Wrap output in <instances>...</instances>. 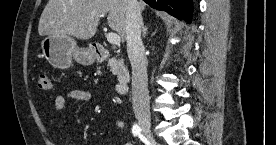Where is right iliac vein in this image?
Wrapping results in <instances>:
<instances>
[{
    "instance_id": "1",
    "label": "right iliac vein",
    "mask_w": 276,
    "mask_h": 145,
    "mask_svg": "<svg viewBox=\"0 0 276 145\" xmlns=\"http://www.w3.org/2000/svg\"><path fill=\"white\" fill-rule=\"evenodd\" d=\"M137 121L142 128V132L145 137L151 142L154 143V138L151 132V118L149 115H137Z\"/></svg>"
}]
</instances>
